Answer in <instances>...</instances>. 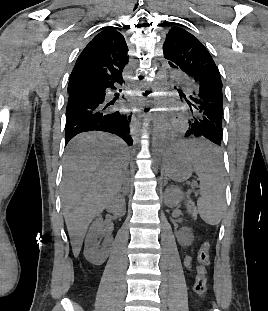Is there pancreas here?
<instances>
[{"instance_id":"obj_1","label":"pancreas","mask_w":268,"mask_h":311,"mask_svg":"<svg viewBox=\"0 0 268 311\" xmlns=\"http://www.w3.org/2000/svg\"><path fill=\"white\" fill-rule=\"evenodd\" d=\"M194 204H193V202H191V201H188V206L189 207H192ZM190 211V210H189Z\"/></svg>"}]
</instances>
